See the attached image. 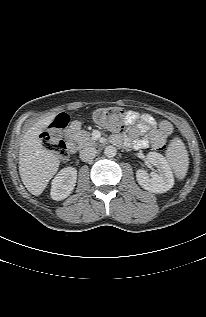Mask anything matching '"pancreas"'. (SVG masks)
I'll list each match as a JSON object with an SVG mask.
<instances>
[{
  "instance_id": "1",
  "label": "pancreas",
  "mask_w": 206,
  "mask_h": 317,
  "mask_svg": "<svg viewBox=\"0 0 206 317\" xmlns=\"http://www.w3.org/2000/svg\"><path fill=\"white\" fill-rule=\"evenodd\" d=\"M72 137L80 147L92 146L95 144V140L92 139L90 133L84 130L74 131Z\"/></svg>"
}]
</instances>
